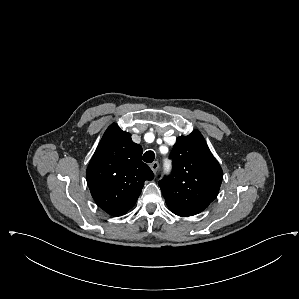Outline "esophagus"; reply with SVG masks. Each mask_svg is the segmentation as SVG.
<instances>
[{
  "label": "esophagus",
  "mask_w": 299,
  "mask_h": 299,
  "mask_svg": "<svg viewBox=\"0 0 299 299\" xmlns=\"http://www.w3.org/2000/svg\"><path fill=\"white\" fill-rule=\"evenodd\" d=\"M150 168H151V170H152L154 173H156L157 170L159 169V163H158L157 161L151 163V164H150Z\"/></svg>",
  "instance_id": "obj_1"
}]
</instances>
